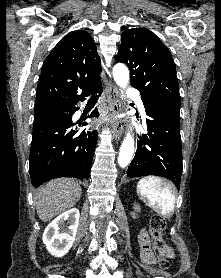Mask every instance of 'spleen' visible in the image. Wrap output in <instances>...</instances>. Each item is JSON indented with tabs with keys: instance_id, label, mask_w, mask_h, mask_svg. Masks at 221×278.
I'll list each match as a JSON object with an SVG mask.
<instances>
[{
	"instance_id": "obj_1",
	"label": "spleen",
	"mask_w": 221,
	"mask_h": 278,
	"mask_svg": "<svg viewBox=\"0 0 221 278\" xmlns=\"http://www.w3.org/2000/svg\"><path fill=\"white\" fill-rule=\"evenodd\" d=\"M137 194L159 215L172 217L176 199L170 183L156 176H147L139 180Z\"/></svg>"
}]
</instances>
